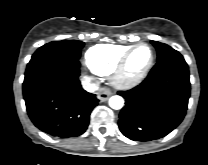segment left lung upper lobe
Segmentation results:
<instances>
[{
  "mask_svg": "<svg viewBox=\"0 0 208 165\" xmlns=\"http://www.w3.org/2000/svg\"><path fill=\"white\" fill-rule=\"evenodd\" d=\"M152 44L157 49V55H158L157 60H159L161 58H164L165 56H167L169 54L177 52L172 47H170V46H168L164 43H160V42H157V41H152Z\"/></svg>",
  "mask_w": 208,
  "mask_h": 165,
  "instance_id": "5c2ea615",
  "label": "left lung upper lobe"
}]
</instances>
